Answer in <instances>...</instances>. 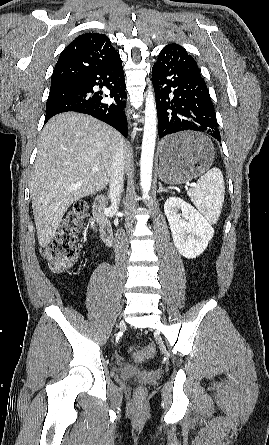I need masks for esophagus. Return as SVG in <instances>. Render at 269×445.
Wrapping results in <instances>:
<instances>
[{"instance_id": "obj_1", "label": "esophagus", "mask_w": 269, "mask_h": 445, "mask_svg": "<svg viewBox=\"0 0 269 445\" xmlns=\"http://www.w3.org/2000/svg\"><path fill=\"white\" fill-rule=\"evenodd\" d=\"M128 122H129V124H130V118H129V113H128Z\"/></svg>"}]
</instances>
